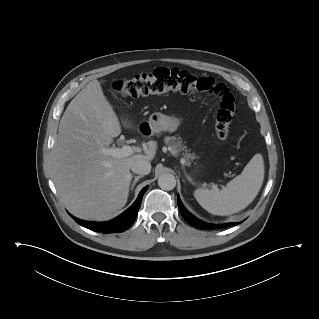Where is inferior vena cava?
<instances>
[{"label": "inferior vena cava", "mask_w": 319, "mask_h": 319, "mask_svg": "<svg viewBox=\"0 0 319 319\" xmlns=\"http://www.w3.org/2000/svg\"><path fill=\"white\" fill-rule=\"evenodd\" d=\"M131 170L136 174L147 175L151 171V164L145 159H137L131 164Z\"/></svg>", "instance_id": "1"}]
</instances>
